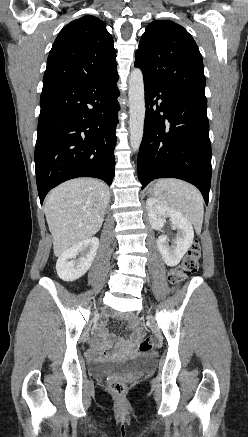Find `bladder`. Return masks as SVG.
I'll return each mask as SVG.
<instances>
[{
	"label": "bladder",
	"mask_w": 248,
	"mask_h": 437,
	"mask_svg": "<svg viewBox=\"0 0 248 437\" xmlns=\"http://www.w3.org/2000/svg\"><path fill=\"white\" fill-rule=\"evenodd\" d=\"M152 363L153 359L150 356H137L127 360L95 363L92 372L99 377L124 378L146 371Z\"/></svg>",
	"instance_id": "obj_1"
}]
</instances>
